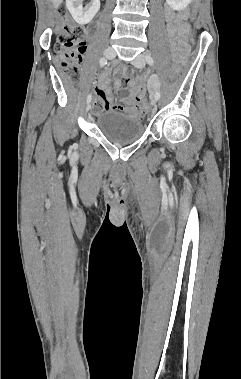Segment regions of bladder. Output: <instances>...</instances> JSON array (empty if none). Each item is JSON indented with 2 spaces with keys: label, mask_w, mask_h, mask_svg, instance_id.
<instances>
[{
  "label": "bladder",
  "mask_w": 241,
  "mask_h": 379,
  "mask_svg": "<svg viewBox=\"0 0 241 379\" xmlns=\"http://www.w3.org/2000/svg\"><path fill=\"white\" fill-rule=\"evenodd\" d=\"M97 127L111 143L125 145L138 140L144 131L139 117L120 111H104L97 117Z\"/></svg>",
  "instance_id": "1"
}]
</instances>
